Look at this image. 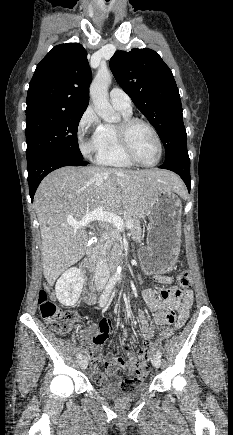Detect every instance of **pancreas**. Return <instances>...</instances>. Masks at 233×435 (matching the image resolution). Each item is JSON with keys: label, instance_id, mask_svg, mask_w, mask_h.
Wrapping results in <instances>:
<instances>
[{"label": "pancreas", "instance_id": "obj_1", "mask_svg": "<svg viewBox=\"0 0 233 435\" xmlns=\"http://www.w3.org/2000/svg\"><path fill=\"white\" fill-rule=\"evenodd\" d=\"M125 219L127 221H132L133 225L131 227V233L135 240L141 239V226L140 221L136 216L126 215ZM113 247V254H120L122 248V236L120 230L116 227L111 228L109 232L108 249Z\"/></svg>", "mask_w": 233, "mask_h": 435}]
</instances>
